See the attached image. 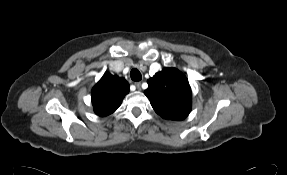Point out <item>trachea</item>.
Returning a JSON list of instances; mask_svg holds the SVG:
<instances>
[{
	"mask_svg": "<svg viewBox=\"0 0 287 175\" xmlns=\"http://www.w3.org/2000/svg\"><path fill=\"white\" fill-rule=\"evenodd\" d=\"M130 77L135 82H138L142 79L141 73L138 69H132L130 72Z\"/></svg>",
	"mask_w": 287,
	"mask_h": 175,
	"instance_id": "1",
	"label": "trachea"
}]
</instances>
